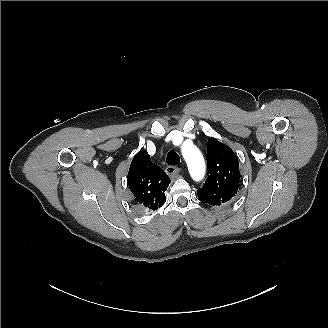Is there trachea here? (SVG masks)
<instances>
[{"instance_id":"trachea-1","label":"trachea","mask_w":328,"mask_h":328,"mask_svg":"<svg viewBox=\"0 0 328 328\" xmlns=\"http://www.w3.org/2000/svg\"><path fill=\"white\" fill-rule=\"evenodd\" d=\"M166 162L169 166H176L180 163L179 155L175 151H170L167 154Z\"/></svg>"}]
</instances>
